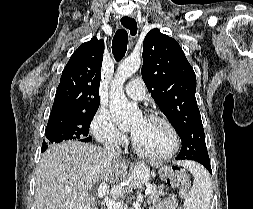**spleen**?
<instances>
[{
    "label": "spleen",
    "instance_id": "1",
    "mask_svg": "<svg viewBox=\"0 0 253 209\" xmlns=\"http://www.w3.org/2000/svg\"><path fill=\"white\" fill-rule=\"evenodd\" d=\"M179 164L189 170L194 177L193 186L184 202V209H210L212 183L208 172L195 162L181 161Z\"/></svg>",
    "mask_w": 253,
    "mask_h": 209
}]
</instances>
